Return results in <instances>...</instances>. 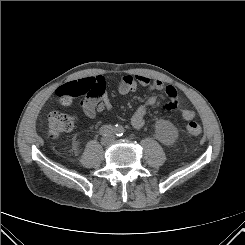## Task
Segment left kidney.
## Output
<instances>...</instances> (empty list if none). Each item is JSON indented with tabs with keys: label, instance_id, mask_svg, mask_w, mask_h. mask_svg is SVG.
Here are the masks:
<instances>
[{
	"label": "left kidney",
	"instance_id": "5707ae66",
	"mask_svg": "<svg viewBox=\"0 0 245 245\" xmlns=\"http://www.w3.org/2000/svg\"><path fill=\"white\" fill-rule=\"evenodd\" d=\"M157 132L167 143H172L178 136L177 129L168 121H159L157 124Z\"/></svg>",
	"mask_w": 245,
	"mask_h": 245
}]
</instances>
